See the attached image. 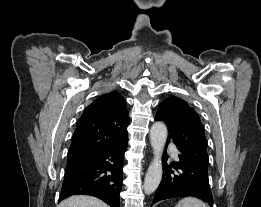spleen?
<instances>
[{"mask_svg": "<svg viewBox=\"0 0 261 207\" xmlns=\"http://www.w3.org/2000/svg\"><path fill=\"white\" fill-rule=\"evenodd\" d=\"M175 207H207L204 202L197 198L188 197L182 199Z\"/></svg>", "mask_w": 261, "mask_h": 207, "instance_id": "1", "label": "spleen"}]
</instances>
